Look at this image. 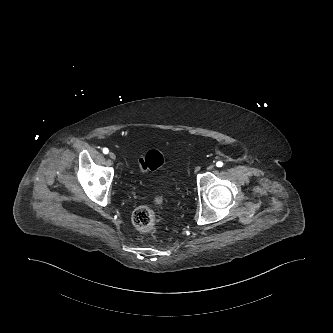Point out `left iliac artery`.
Returning <instances> with one entry per match:
<instances>
[{
	"label": "left iliac artery",
	"instance_id": "obj_1",
	"mask_svg": "<svg viewBox=\"0 0 333 333\" xmlns=\"http://www.w3.org/2000/svg\"><path fill=\"white\" fill-rule=\"evenodd\" d=\"M216 166H217V167H222V166H223V162H222V161H218V162L216 163Z\"/></svg>",
	"mask_w": 333,
	"mask_h": 333
}]
</instances>
